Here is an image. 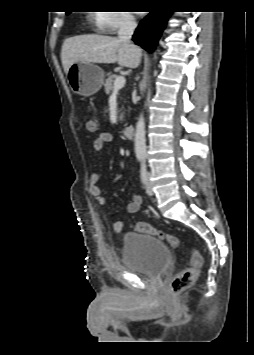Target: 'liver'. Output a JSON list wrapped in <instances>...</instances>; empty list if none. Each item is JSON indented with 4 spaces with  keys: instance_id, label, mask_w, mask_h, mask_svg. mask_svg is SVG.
I'll return each mask as SVG.
<instances>
[{
    "instance_id": "obj_1",
    "label": "liver",
    "mask_w": 254,
    "mask_h": 355,
    "mask_svg": "<svg viewBox=\"0 0 254 355\" xmlns=\"http://www.w3.org/2000/svg\"><path fill=\"white\" fill-rule=\"evenodd\" d=\"M141 49L116 37L99 34L79 35L64 41L61 60L65 73L76 62L115 63L135 68L140 63Z\"/></svg>"
}]
</instances>
